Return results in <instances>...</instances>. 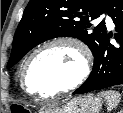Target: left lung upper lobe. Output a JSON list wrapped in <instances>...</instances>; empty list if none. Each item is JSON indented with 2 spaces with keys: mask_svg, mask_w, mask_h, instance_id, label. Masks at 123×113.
Listing matches in <instances>:
<instances>
[{
  "mask_svg": "<svg viewBox=\"0 0 123 113\" xmlns=\"http://www.w3.org/2000/svg\"><path fill=\"white\" fill-rule=\"evenodd\" d=\"M110 0H30L16 29L7 68L38 44L58 36L76 37L94 54L107 36L105 21L91 20L106 11Z\"/></svg>",
  "mask_w": 123,
  "mask_h": 113,
  "instance_id": "obj_1",
  "label": "left lung upper lobe"
}]
</instances>
